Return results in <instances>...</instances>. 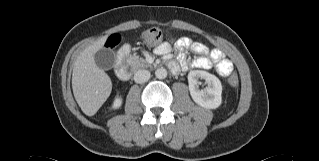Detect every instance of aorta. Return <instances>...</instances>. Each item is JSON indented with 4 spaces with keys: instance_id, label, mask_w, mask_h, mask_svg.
Listing matches in <instances>:
<instances>
[{
    "instance_id": "1",
    "label": "aorta",
    "mask_w": 319,
    "mask_h": 161,
    "mask_svg": "<svg viewBox=\"0 0 319 161\" xmlns=\"http://www.w3.org/2000/svg\"><path fill=\"white\" fill-rule=\"evenodd\" d=\"M155 76L158 79H165L167 77V70L165 68H158L155 71Z\"/></svg>"
}]
</instances>
